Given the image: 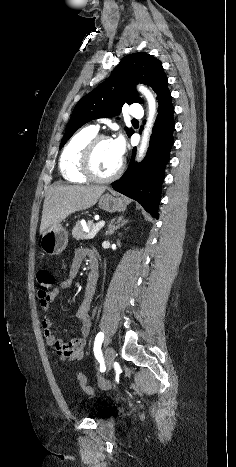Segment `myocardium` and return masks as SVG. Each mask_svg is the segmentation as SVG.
<instances>
[{
    "label": "myocardium",
    "mask_w": 236,
    "mask_h": 467,
    "mask_svg": "<svg viewBox=\"0 0 236 467\" xmlns=\"http://www.w3.org/2000/svg\"><path fill=\"white\" fill-rule=\"evenodd\" d=\"M102 141H111V138L104 134H96L90 139L81 151L80 170L82 174L89 180L94 182H110L116 179L123 171L124 163L121 159L116 170L108 176H100L93 169V156L98 144Z\"/></svg>",
    "instance_id": "myocardium-1"
}]
</instances>
